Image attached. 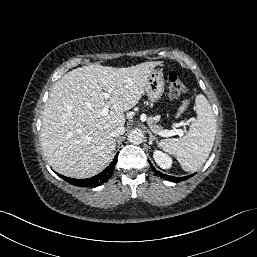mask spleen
Masks as SVG:
<instances>
[{"label":"spleen","mask_w":257,"mask_h":257,"mask_svg":"<svg viewBox=\"0 0 257 257\" xmlns=\"http://www.w3.org/2000/svg\"><path fill=\"white\" fill-rule=\"evenodd\" d=\"M197 118L182 138L161 140L158 145L165 152L174 155L183 170L195 172L208 158L215 140L217 121L204 95L195 98Z\"/></svg>","instance_id":"spleen-1"}]
</instances>
